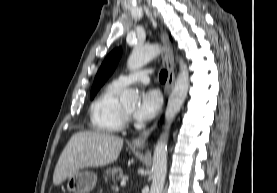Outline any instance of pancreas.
I'll list each match as a JSON object with an SVG mask.
<instances>
[{"instance_id":"1","label":"pancreas","mask_w":277,"mask_h":193,"mask_svg":"<svg viewBox=\"0 0 277 193\" xmlns=\"http://www.w3.org/2000/svg\"><path fill=\"white\" fill-rule=\"evenodd\" d=\"M105 179H111L113 182H115V179H120L123 177V170L120 167H113L108 168L104 172Z\"/></svg>"}]
</instances>
